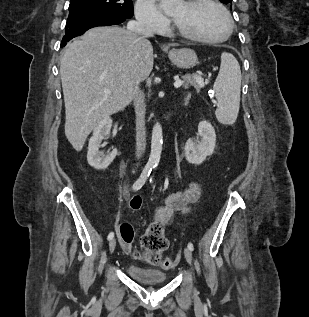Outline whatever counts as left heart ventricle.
I'll use <instances>...</instances> for the list:
<instances>
[{
  "mask_svg": "<svg viewBox=\"0 0 309 317\" xmlns=\"http://www.w3.org/2000/svg\"><path fill=\"white\" fill-rule=\"evenodd\" d=\"M171 17L182 30L206 38L222 37L227 29L222 12L210 4L189 8L183 2L171 13Z\"/></svg>",
  "mask_w": 309,
  "mask_h": 317,
  "instance_id": "obj_1",
  "label": "left heart ventricle"
}]
</instances>
